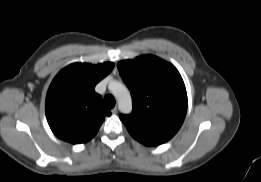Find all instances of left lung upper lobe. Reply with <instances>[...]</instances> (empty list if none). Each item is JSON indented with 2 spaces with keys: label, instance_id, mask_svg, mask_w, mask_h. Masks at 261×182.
<instances>
[{
  "label": "left lung upper lobe",
  "instance_id": "1",
  "mask_svg": "<svg viewBox=\"0 0 261 182\" xmlns=\"http://www.w3.org/2000/svg\"><path fill=\"white\" fill-rule=\"evenodd\" d=\"M117 67L133 99L131 114L120 116L128 132L146 146L167 142L187 112L186 88L178 70L153 55L120 61Z\"/></svg>",
  "mask_w": 261,
  "mask_h": 182
}]
</instances>
